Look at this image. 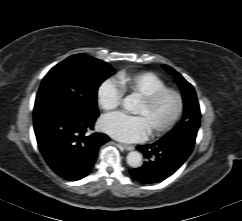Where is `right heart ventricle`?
<instances>
[{"instance_id": "right-heart-ventricle-1", "label": "right heart ventricle", "mask_w": 242, "mask_h": 221, "mask_svg": "<svg viewBox=\"0 0 242 221\" xmlns=\"http://www.w3.org/2000/svg\"><path fill=\"white\" fill-rule=\"evenodd\" d=\"M116 82L123 92L139 97L166 87L164 80L150 71L120 72Z\"/></svg>"}]
</instances>
